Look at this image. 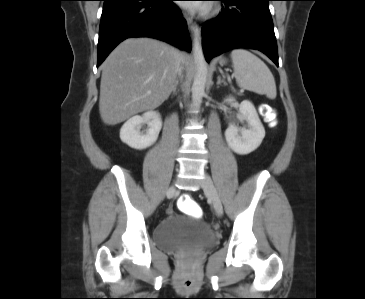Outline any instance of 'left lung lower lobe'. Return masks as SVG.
<instances>
[{
    "label": "left lung lower lobe",
    "instance_id": "1",
    "mask_svg": "<svg viewBox=\"0 0 365 299\" xmlns=\"http://www.w3.org/2000/svg\"><path fill=\"white\" fill-rule=\"evenodd\" d=\"M225 8L202 27L206 60L234 48L257 49L278 66V49L268 2L219 0Z\"/></svg>",
    "mask_w": 365,
    "mask_h": 299
}]
</instances>
